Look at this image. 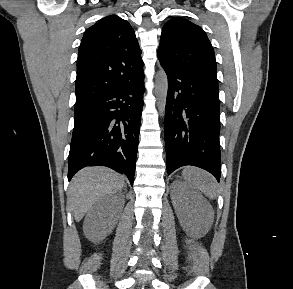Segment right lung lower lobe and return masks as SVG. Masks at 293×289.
<instances>
[{"label":"right lung lower lobe","mask_w":293,"mask_h":289,"mask_svg":"<svg viewBox=\"0 0 293 289\" xmlns=\"http://www.w3.org/2000/svg\"><path fill=\"white\" fill-rule=\"evenodd\" d=\"M144 75L75 107L68 179L90 165L107 166L134 181Z\"/></svg>","instance_id":"right-lung-lower-lobe-1"}]
</instances>
